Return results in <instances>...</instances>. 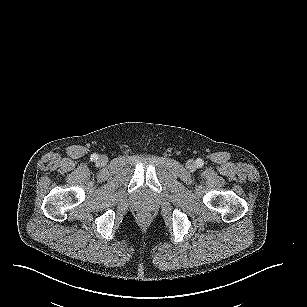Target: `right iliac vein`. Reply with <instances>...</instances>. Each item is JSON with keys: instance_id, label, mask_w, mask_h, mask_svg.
Instances as JSON below:
<instances>
[{"instance_id": "obj_1", "label": "right iliac vein", "mask_w": 307, "mask_h": 307, "mask_svg": "<svg viewBox=\"0 0 307 307\" xmlns=\"http://www.w3.org/2000/svg\"><path fill=\"white\" fill-rule=\"evenodd\" d=\"M97 163H98L100 166H105V164L107 163V157H106L105 155H101V156L98 158Z\"/></svg>"}]
</instances>
